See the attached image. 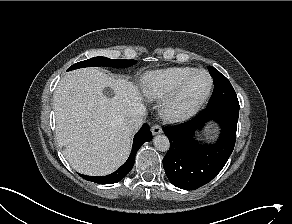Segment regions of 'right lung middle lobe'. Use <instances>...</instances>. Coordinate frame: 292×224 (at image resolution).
Instances as JSON below:
<instances>
[{
    "label": "right lung middle lobe",
    "mask_w": 292,
    "mask_h": 224,
    "mask_svg": "<svg viewBox=\"0 0 292 224\" xmlns=\"http://www.w3.org/2000/svg\"><path fill=\"white\" fill-rule=\"evenodd\" d=\"M136 60H114L109 59L106 57H94L85 61L78 62L74 65H72L67 71L78 69V68H84V67H97V66H104V67H114V68H125L132 66L136 63Z\"/></svg>",
    "instance_id": "dd1d6c3e"
}]
</instances>
